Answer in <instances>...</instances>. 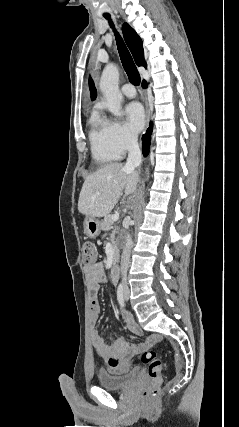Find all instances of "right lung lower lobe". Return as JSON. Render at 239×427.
I'll return each instance as SVG.
<instances>
[{
  "instance_id": "98d812e1",
  "label": "right lung lower lobe",
  "mask_w": 239,
  "mask_h": 427,
  "mask_svg": "<svg viewBox=\"0 0 239 427\" xmlns=\"http://www.w3.org/2000/svg\"><path fill=\"white\" fill-rule=\"evenodd\" d=\"M142 86L145 88L146 87V82L143 81ZM151 134H152V123L150 124V127L148 128L147 132L145 135H143V147H142V152L144 156L148 155L149 152V146H150V139H151Z\"/></svg>"
}]
</instances>
